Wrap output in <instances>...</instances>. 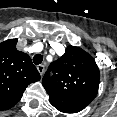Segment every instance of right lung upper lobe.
Masks as SVG:
<instances>
[{
  "instance_id": "1",
  "label": "right lung upper lobe",
  "mask_w": 117,
  "mask_h": 117,
  "mask_svg": "<svg viewBox=\"0 0 117 117\" xmlns=\"http://www.w3.org/2000/svg\"><path fill=\"white\" fill-rule=\"evenodd\" d=\"M17 39L0 43V110L13 107L40 74L28 54L16 49Z\"/></svg>"
}]
</instances>
